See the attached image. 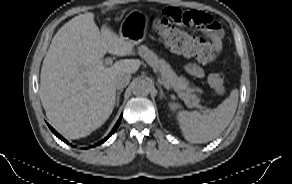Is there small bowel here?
I'll return each instance as SVG.
<instances>
[{"label":"small bowel","mask_w":292,"mask_h":184,"mask_svg":"<svg viewBox=\"0 0 292 184\" xmlns=\"http://www.w3.org/2000/svg\"><path fill=\"white\" fill-rule=\"evenodd\" d=\"M208 16V15H207ZM213 21V26L208 28H203V31L206 37L212 41L215 46L217 52H221L222 50V39H223V31L219 23H217L211 16H208ZM186 71L197 78H202L204 76L203 69L194 63L187 64L185 67Z\"/></svg>","instance_id":"small-bowel-1"}]
</instances>
